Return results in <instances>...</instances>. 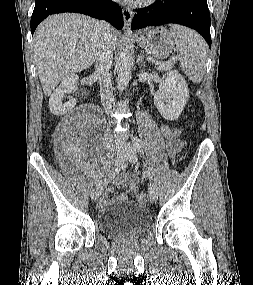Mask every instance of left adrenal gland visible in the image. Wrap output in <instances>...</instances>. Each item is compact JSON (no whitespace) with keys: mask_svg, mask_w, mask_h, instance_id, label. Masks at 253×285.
Returning <instances> with one entry per match:
<instances>
[{"mask_svg":"<svg viewBox=\"0 0 253 285\" xmlns=\"http://www.w3.org/2000/svg\"><path fill=\"white\" fill-rule=\"evenodd\" d=\"M144 59H145V56L143 55V54H140L139 56H138V59H137V63L138 64H141V65H144Z\"/></svg>","mask_w":253,"mask_h":285,"instance_id":"left-adrenal-gland-1","label":"left adrenal gland"}]
</instances>
